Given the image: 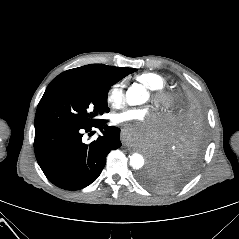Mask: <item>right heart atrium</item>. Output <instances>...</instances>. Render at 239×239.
I'll return each instance as SVG.
<instances>
[{
  "mask_svg": "<svg viewBox=\"0 0 239 239\" xmlns=\"http://www.w3.org/2000/svg\"><path fill=\"white\" fill-rule=\"evenodd\" d=\"M124 82L118 81L110 86L106 94V101L112 108H119L125 100Z\"/></svg>",
  "mask_w": 239,
  "mask_h": 239,
  "instance_id": "right-heart-atrium-1",
  "label": "right heart atrium"
}]
</instances>
